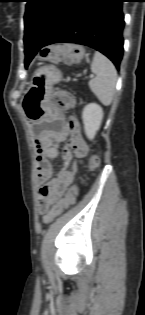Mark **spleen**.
<instances>
[{"label":"spleen","mask_w":145,"mask_h":315,"mask_svg":"<svg viewBox=\"0 0 145 315\" xmlns=\"http://www.w3.org/2000/svg\"><path fill=\"white\" fill-rule=\"evenodd\" d=\"M91 71L95 74V78L89 81L90 89L102 104L110 105L117 80V72L113 63L101 53L95 52Z\"/></svg>","instance_id":"1"}]
</instances>
